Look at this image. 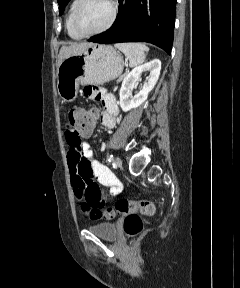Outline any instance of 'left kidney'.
<instances>
[{
    "mask_svg": "<svg viewBox=\"0 0 240 288\" xmlns=\"http://www.w3.org/2000/svg\"><path fill=\"white\" fill-rule=\"evenodd\" d=\"M161 71V61L153 59L152 61L134 68L122 82L119 92L120 107L124 112L139 107L147 98L149 92L156 85ZM144 72H149V78L144 82L142 89L135 96H132V87L141 79Z\"/></svg>",
    "mask_w": 240,
    "mask_h": 288,
    "instance_id": "left-kidney-1",
    "label": "left kidney"
}]
</instances>
